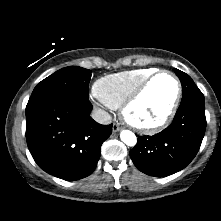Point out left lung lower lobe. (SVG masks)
Returning <instances> with one entry per match:
<instances>
[{
  "label": "left lung lower lobe",
  "instance_id": "obj_1",
  "mask_svg": "<svg viewBox=\"0 0 221 221\" xmlns=\"http://www.w3.org/2000/svg\"><path fill=\"white\" fill-rule=\"evenodd\" d=\"M205 129V101H188L180 104L172 124L162 132L139 137L130 157L134 165L147 175L169 176L193 160Z\"/></svg>",
  "mask_w": 221,
  "mask_h": 221
}]
</instances>
